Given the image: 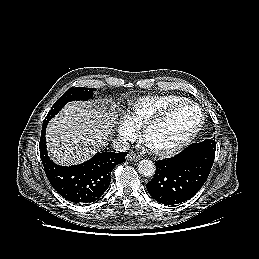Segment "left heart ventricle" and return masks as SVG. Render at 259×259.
<instances>
[{
	"mask_svg": "<svg viewBox=\"0 0 259 259\" xmlns=\"http://www.w3.org/2000/svg\"><path fill=\"white\" fill-rule=\"evenodd\" d=\"M198 121L199 112L195 107H183L152 130L151 141L157 145L174 143L189 134Z\"/></svg>",
	"mask_w": 259,
	"mask_h": 259,
	"instance_id": "obj_1",
	"label": "left heart ventricle"
}]
</instances>
